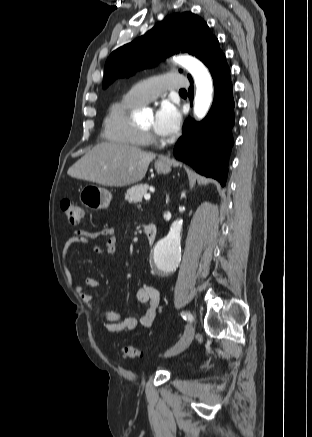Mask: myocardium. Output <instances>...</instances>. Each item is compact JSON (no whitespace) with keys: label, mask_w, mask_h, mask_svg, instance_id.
Returning a JSON list of instances; mask_svg holds the SVG:
<instances>
[{"label":"myocardium","mask_w":312,"mask_h":437,"mask_svg":"<svg viewBox=\"0 0 312 437\" xmlns=\"http://www.w3.org/2000/svg\"><path fill=\"white\" fill-rule=\"evenodd\" d=\"M141 131L146 138L154 142H159V139L153 134L151 130L141 129Z\"/></svg>","instance_id":"myocardium-1"}]
</instances>
